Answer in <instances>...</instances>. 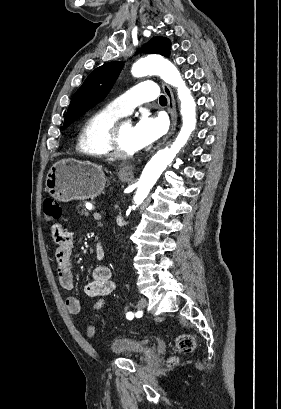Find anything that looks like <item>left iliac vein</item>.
I'll return each instance as SVG.
<instances>
[{
    "instance_id": "4c4485c4",
    "label": "left iliac vein",
    "mask_w": 281,
    "mask_h": 409,
    "mask_svg": "<svg viewBox=\"0 0 281 409\" xmlns=\"http://www.w3.org/2000/svg\"><path fill=\"white\" fill-rule=\"evenodd\" d=\"M146 306H147V300H146V298H141V299L138 301L137 308L140 310V309H144Z\"/></svg>"
}]
</instances>
